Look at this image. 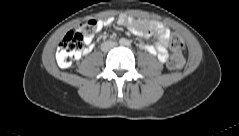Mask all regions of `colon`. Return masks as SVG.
<instances>
[{
    "label": "colon",
    "instance_id": "1",
    "mask_svg": "<svg viewBox=\"0 0 239 136\" xmlns=\"http://www.w3.org/2000/svg\"><path fill=\"white\" fill-rule=\"evenodd\" d=\"M99 23L96 20H87L81 23L76 31H69L60 41L56 61L61 68H69L80 55L85 37H91L98 30ZM172 55L168 61V67L172 70L182 68L184 65L185 42L177 34H173L170 40Z\"/></svg>",
    "mask_w": 239,
    "mask_h": 136
}]
</instances>
